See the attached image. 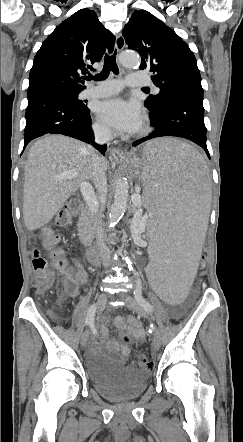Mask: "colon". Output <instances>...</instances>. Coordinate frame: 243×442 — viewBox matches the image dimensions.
Here are the masks:
<instances>
[{
  "instance_id": "obj_1",
  "label": "colon",
  "mask_w": 243,
  "mask_h": 442,
  "mask_svg": "<svg viewBox=\"0 0 243 442\" xmlns=\"http://www.w3.org/2000/svg\"><path fill=\"white\" fill-rule=\"evenodd\" d=\"M73 213L71 205L63 208L57 218V224L59 226H67L71 221V214ZM123 224H125L126 229L132 228L131 219L128 216L123 217ZM41 243L42 246L48 250L50 257L52 259V268L57 271H64L67 268L68 261L67 257L61 247H59L58 238L55 233L49 229L43 230L41 233ZM210 260L209 255H202L198 265L196 272L199 275L204 274L205 268ZM32 266L34 270L35 277L38 281V288L41 292L48 289L53 281H54V271L48 265L47 260L40 254L38 250H35L32 256ZM128 338L125 337V341ZM134 364L142 369L150 370L153 366L151 362V358L146 356L142 352L134 353Z\"/></svg>"
}]
</instances>
